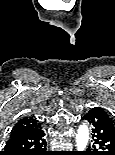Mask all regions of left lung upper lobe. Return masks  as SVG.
<instances>
[{"mask_svg": "<svg viewBox=\"0 0 115 155\" xmlns=\"http://www.w3.org/2000/svg\"><path fill=\"white\" fill-rule=\"evenodd\" d=\"M112 121H113V123L115 124V120H114V119H112Z\"/></svg>", "mask_w": 115, "mask_h": 155, "instance_id": "obj_1", "label": "left lung upper lobe"}]
</instances>
